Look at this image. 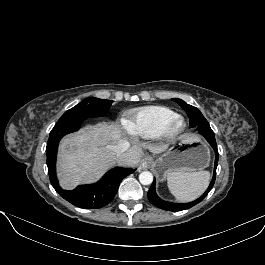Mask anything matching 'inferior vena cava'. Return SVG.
Wrapping results in <instances>:
<instances>
[{"mask_svg":"<svg viewBox=\"0 0 265 265\" xmlns=\"http://www.w3.org/2000/svg\"><path fill=\"white\" fill-rule=\"evenodd\" d=\"M130 144L126 140H120L117 143L108 146L111 155L116 161L123 162L126 159L127 152L129 151Z\"/></svg>","mask_w":265,"mask_h":265,"instance_id":"inferior-vena-cava-1","label":"inferior vena cava"}]
</instances>
